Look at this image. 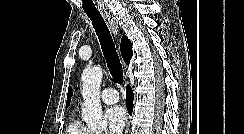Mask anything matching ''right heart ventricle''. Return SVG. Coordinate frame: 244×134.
Masks as SVG:
<instances>
[{"label": "right heart ventricle", "instance_id": "obj_1", "mask_svg": "<svg viewBox=\"0 0 244 134\" xmlns=\"http://www.w3.org/2000/svg\"><path fill=\"white\" fill-rule=\"evenodd\" d=\"M66 134H93L78 119H73L68 125Z\"/></svg>", "mask_w": 244, "mask_h": 134}]
</instances>
